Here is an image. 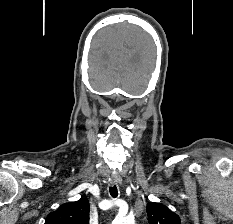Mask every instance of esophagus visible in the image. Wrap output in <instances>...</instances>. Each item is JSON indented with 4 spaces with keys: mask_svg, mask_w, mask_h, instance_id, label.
Masks as SVG:
<instances>
[{
    "mask_svg": "<svg viewBox=\"0 0 233 224\" xmlns=\"http://www.w3.org/2000/svg\"><path fill=\"white\" fill-rule=\"evenodd\" d=\"M110 184L112 186H114V185H120L121 184V179H120L119 175L113 174L111 176V178H110Z\"/></svg>",
    "mask_w": 233,
    "mask_h": 224,
    "instance_id": "34e87169",
    "label": "esophagus"
}]
</instances>
